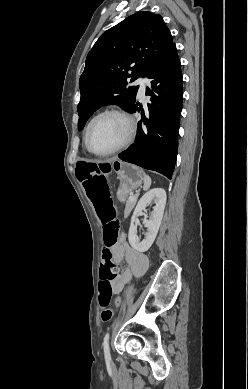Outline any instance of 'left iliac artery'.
<instances>
[{
    "label": "left iliac artery",
    "instance_id": "obj_1",
    "mask_svg": "<svg viewBox=\"0 0 248 389\" xmlns=\"http://www.w3.org/2000/svg\"><path fill=\"white\" fill-rule=\"evenodd\" d=\"M103 348H104L105 360L110 361L111 356H110V349H109V333H106L104 337Z\"/></svg>",
    "mask_w": 248,
    "mask_h": 389
}]
</instances>
